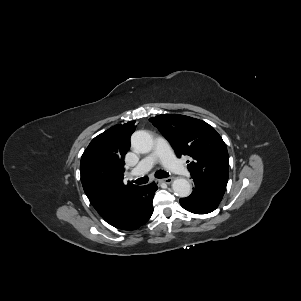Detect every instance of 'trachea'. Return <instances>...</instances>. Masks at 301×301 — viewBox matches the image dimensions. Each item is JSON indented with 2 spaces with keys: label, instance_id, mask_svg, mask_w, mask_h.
<instances>
[{
  "label": "trachea",
  "instance_id": "obj_1",
  "mask_svg": "<svg viewBox=\"0 0 301 301\" xmlns=\"http://www.w3.org/2000/svg\"><path fill=\"white\" fill-rule=\"evenodd\" d=\"M155 177H157V178H167V177H169V174L165 171L159 170V171L155 172ZM134 182L138 185L146 184L148 182V178L147 177L138 178Z\"/></svg>",
  "mask_w": 301,
  "mask_h": 301
}]
</instances>
